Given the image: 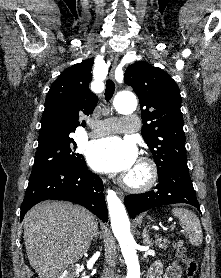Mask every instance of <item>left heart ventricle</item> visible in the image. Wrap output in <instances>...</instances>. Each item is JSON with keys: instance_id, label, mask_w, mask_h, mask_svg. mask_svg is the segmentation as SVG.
I'll use <instances>...</instances> for the list:
<instances>
[{"instance_id": "left-heart-ventricle-1", "label": "left heart ventricle", "mask_w": 221, "mask_h": 278, "mask_svg": "<svg viewBox=\"0 0 221 278\" xmlns=\"http://www.w3.org/2000/svg\"><path fill=\"white\" fill-rule=\"evenodd\" d=\"M126 176L134 182L141 181L145 178V169L136 163Z\"/></svg>"}]
</instances>
